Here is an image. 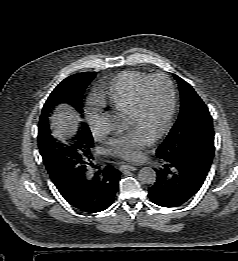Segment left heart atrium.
Masks as SVG:
<instances>
[{"instance_id": "1", "label": "left heart atrium", "mask_w": 238, "mask_h": 261, "mask_svg": "<svg viewBox=\"0 0 238 261\" xmlns=\"http://www.w3.org/2000/svg\"><path fill=\"white\" fill-rule=\"evenodd\" d=\"M153 142V136L138 127L116 135L108 141V150L120 158L137 161L142 150Z\"/></svg>"}]
</instances>
